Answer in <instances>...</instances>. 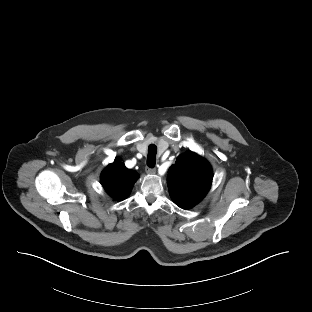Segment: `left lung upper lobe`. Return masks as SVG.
<instances>
[{
  "mask_svg": "<svg viewBox=\"0 0 312 312\" xmlns=\"http://www.w3.org/2000/svg\"><path fill=\"white\" fill-rule=\"evenodd\" d=\"M209 163L191 151L180 155L169 169L167 184L171 198L183 209L195 206L211 187Z\"/></svg>",
  "mask_w": 312,
  "mask_h": 312,
  "instance_id": "1",
  "label": "left lung upper lobe"
}]
</instances>
